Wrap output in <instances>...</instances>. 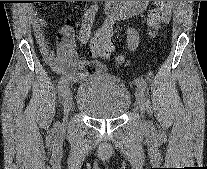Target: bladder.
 <instances>
[{"mask_svg": "<svg viewBox=\"0 0 207 169\" xmlns=\"http://www.w3.org/2000/svg\"><path fill=\"white\" fill-rule=\"evenodd\" d=\"M131 101L129 88L106 73L81 82L76 94L77 109L95 119H117L128 111Z\"/></svg>", "mask_w": 207, "mask_h": 169, "instance_id": "1", "label": "bladder"}]
</instances>
